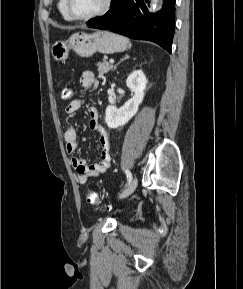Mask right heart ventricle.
<instances>
[{"mask_svg":"<svg viewBox=\"0 0 243 289\" xmlns=\"http://www.w3.org/2000/svg\"><path fill=\"white\" fill-rule=\"evenodd\" d=\"M58 10L61 14V16L67 20V21H71L72 19L68 16L67 12H66V7H65V0H59L58 4H57Z\"/></svg>","mask_w":243,"mask_h":289,"instance_id":"obj_1","label":"right heart ventricle"}]
</instances>
